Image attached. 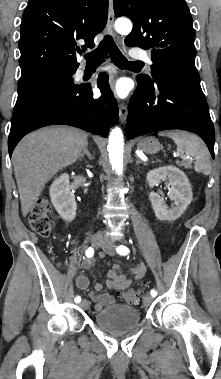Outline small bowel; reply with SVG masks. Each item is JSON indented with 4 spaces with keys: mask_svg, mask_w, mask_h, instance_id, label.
Listing matches in <instances>:
<instances>
[{
    "mask_svg": "<svg viewBox=\"0 0 221 379\" xmlns=\"http://www.w3.org/2000/svg\"><path fill=\"white\" fill-rule=\"evenodd\" d=\"M94 265L93 258H87L83 261L82 267L83 269H90ZM147 269L146 266L139 262L137 265L132 268L129 273H126L119 265H113L111 270L108 273L109 280L107 281V286L119 292L124 291L133 280L142 279L146 275ZM76 285L79 289H86L89 285V280L85 275H79L76 278ZM103 288L102 283L97 282L94 285V290L89 292V298L95 302V309L97 311L102 310L106 306L111 305L114 302V298L109 293H99Z\"/></svg>",
    "mask_w": 221,
    "mask_h": 379,
    "instance_id": "obj_1",
    "label": "small bowel"
}]
</instances>
